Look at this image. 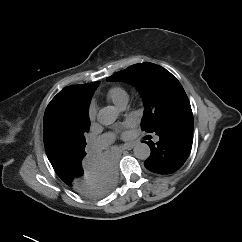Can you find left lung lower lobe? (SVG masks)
<instances>
[{
	"mask_svg": "<svg viewBox=\"0 0 242 242\" xmlns=\"http://www.w3.org/2000/svg\"><path fill=\"white\" fill-rule=\"evenodd\" d=\"M192 110H185L163 122L153 132L160 140L151 146V155L144 162L145 167L157 174L176 172L187 160L192 148L193 138Z\"/></svg>",
	"mask_w": 242,
	"mask_h": 242,
	"instance_id": "0a47b994",
	"label": "left lung lower lobe"
}]
</instances>
